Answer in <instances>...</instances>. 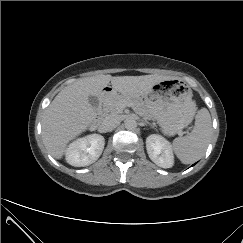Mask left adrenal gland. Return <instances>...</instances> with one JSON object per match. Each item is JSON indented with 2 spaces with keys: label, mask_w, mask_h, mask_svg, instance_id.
<instances>
[{
  "label": "left adrenal gland",
  "mask_w": 243,
  "mask_h": 243,
  "mask_svg": "<svg viewBox=\"0 0 243 243\" xmlns=\"http://www.w3.org/2000/svg\"><path fill=\"white\" fill-rule=\"evenodd\" d=\"M145 125H149L153 128L152 124H150L149 122H145Z\"/></svg>",
  "instance_id": "left-adrenal-gland-1"
}]
</instances>
